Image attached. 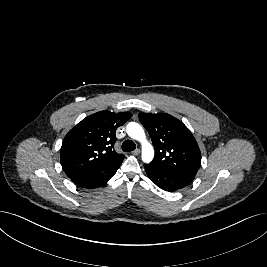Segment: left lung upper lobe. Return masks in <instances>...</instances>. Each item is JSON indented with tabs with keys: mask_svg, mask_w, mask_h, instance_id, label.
I'll return each mask as SVG.
<instances>
[{
	"mask_svg": "<svg viewBox=\"0 0 267 267\" xmlns=\"http://www.w3.org/2000/svg\"><path fill=\"white\" fill-rule=\"evenodd\" d=\"M139 120L155 147L150 165L193 180L201 165V153L190 130L166 113H140Z\"/></svg>",
	"mask_w": 267,
	"mask_h": 267,
	"instance_id": "obj_1",
	"label": "left lung upper lobe"
}]
</instances>
